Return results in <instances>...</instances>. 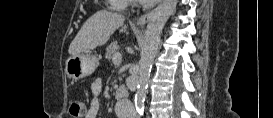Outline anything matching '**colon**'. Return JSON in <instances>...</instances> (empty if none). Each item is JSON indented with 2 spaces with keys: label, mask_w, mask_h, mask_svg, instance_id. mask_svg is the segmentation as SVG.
Masks as SVG:
<instances>
[{
  "label": "colon",
  "mask_w": 273,
  "mask_h": 118,
  "mask_svg": "<svg viewBox=\"0 0 273 118\" xmlns=\"http://www.w3.org/2000/svg\"><path fill=\"white\" fill-rule=\"evenodd\" d=\"M69 111L72 117H83L85 115L86 109L84 103L81 100L74 99L70 103Z\"/></svg>",
  "instance_id": "1"
}]
</instances>
